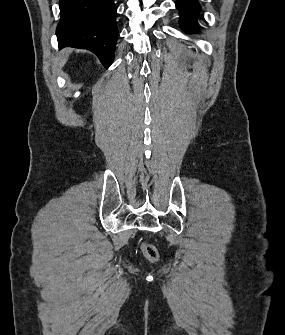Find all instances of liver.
Here are the masks:
<instances>
[{
  "label": "liver",
  "instance_id": "6515ba94",
  "mask_svg": "<svg viewBox=\"0 0 285 335\" xmlns=\"http://www.w3.org/2000/svg\"><path fill=\"white\" fill-rule=\"evenodd\" d=\"M69 58V50H62L60 54V66H64Z\"/></svg>",
  "mask_w": 285,
  "mask_h": 335
}]
</instances>
